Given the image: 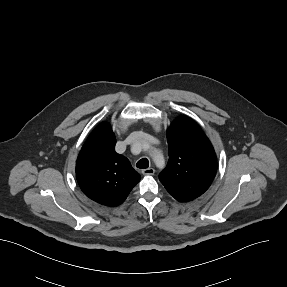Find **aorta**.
I'll use <instances>...</instances> for the list:
<instances>
[{"instance_id":"aorta-1","label":"aorta","mask_w":287,"mask_h":287,"mask_svg":"<svg viewBox=\"0 0 287 287\" xmlns=\"http://www.w3.org/2000/svg\"><path fill=\"white\" fill-rule=\"evenodd\" d=\"M153 158H154V160H159V159H162V155H161L159 152H156V153L153 155Z\"/></svg>"}]
</instances>
